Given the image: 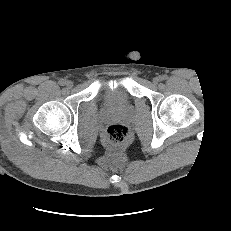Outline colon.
Here are the masks:
<instances>
[{
    "mask_svg": "<svg viewBox=\"0 0 231 231\" xmlns=\"http://www.w3.org/2000/svg\"><path fill=\"white\" fill-rule=\"evenodd\" d=\"M129 129L123 124H113L107 129V138L110 143L120 145L127 140Z\"/></svg>",
    "mask_w": 231,
    "mask_h": 231,
    "instance_id": "1",
    "label": "colon"
}]
</instances>
